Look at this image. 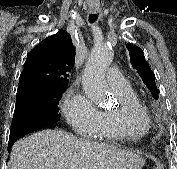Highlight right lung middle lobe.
Wrapping results in <instances>:
<instances>
[{
  "instance_id": "right-lung-middle-lobe-1",
  "label": "right lung middle lobe",
  "mask_w": 177,
  "mask_h": 169,
  "mask_svg": "<svg viewBox=\"0 0 177 169\" xmlns=\"http://www.w3.org/2000/svg\"><path fill=\"white\" fill-rule=\"evenodd\" d=\"M65 90L50 94H26L17 97L13 119L41 117L58 122L60 120L58 104Z\"/></svg>"
}]
</instances>
